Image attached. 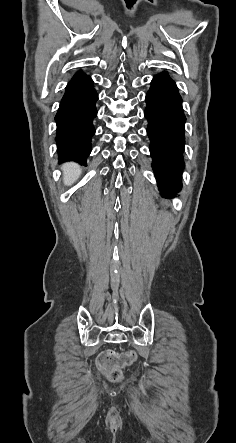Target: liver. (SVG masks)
Here are the masks:
<instances>
[{
  "label": "liver",
  "instance_id": "obj_1",
  "mask_svg": "<svg viewBox=\"0 0 236 443\" xmlns=\"http://www.w3.org/2000/svg\"><path fill=\"white\" fill-rule=\"evenodd\" d=\"M64 184L72 185L80 176L81 168L76 163L70 162L62 166Z\"/></svg>",
  "mask_w": 236,
  "mask_h": 443
}]
</instances>
